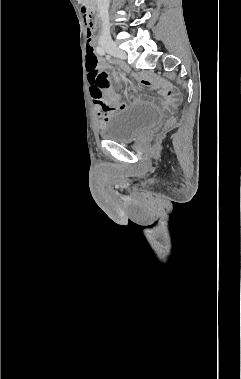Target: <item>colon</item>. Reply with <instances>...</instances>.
I'll use <instances>...</instances> for the list:
<instances>
[{
  "mask_svg": "<svg viewBox=\"0 0 241 379\" xmlns=\"http://www.w3.org/2000/svg\"><path fill=\"white\" fill-rule=\"evenodd\" d=\"M87 80L90 82V89H93L95 96L102 102V104L107 108H111L112 105L105 100L103 95V90L108 85L107 76L100 72L98 69V57L94 52L92 46V34L90 28L87 29Z\"/></svg>",
  "mask_w": 241,
  "mask_h": 379,
  "instance_id": "colon-1",
  "label": "colon"
}]
</instances>
